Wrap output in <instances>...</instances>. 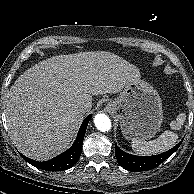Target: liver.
Masks as SVG:
<instances>
[{
	"mask_svg": "<svg viewBox=\"0 0 194 194\" xmlns=\"http://www.w3.org/2000/svg\"><path fill=\"white\" fill-rule=\"evenodd\" d=\"M139 70L105 51L48 58L18 77L7 94L6 122L17 149L43 161L62 152L76 133L92 95L118 93ZM85 105V112L79 110Z\"/></svg>",
	"mask_w": 194,
	"mask_h": 194,
	"instance_id": "liver-1",
	"label": "liver"
}]
</instances>
